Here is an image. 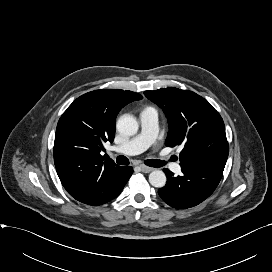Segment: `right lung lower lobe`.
Listing matches in <instances>:
<instances>
[{
  "instance_id": "obj_1",
  "label": "right lung lower lobe",
  "mask_w": 272,
  "mask_h": 272,
  "mask_svg": "<svg viewBox=\"0 0 272 272\" xmlns=\"http://www.w3.org/2000/svg\"><path fill=\"white\" fill-rule=\"evenodd\" d=\"M133 173L131 166H117L82 190L70 194L84 204L97 206L116 198Z\"/></svg>"
}]
</instances>
